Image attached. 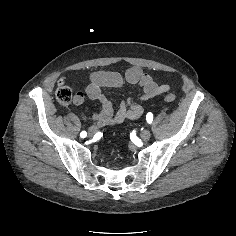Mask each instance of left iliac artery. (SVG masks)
Returning a JSON list of instances; mask_svg holds the SVG:
<instances>
[{"mask_svg": "<svg viewBox=\"0 0 236 236\" xmlns=\"http://www.w3.org/2000/svg\"><path fill=\"white\" fill-rule=\"evenodd\" d=\"M146 120H147V122H148L149 124H151V123H152V120H153V114H152V113H148V114L146 115Z\"/></svg>", "mask_w": 236, "mask_h": 236, "instance_id": "1", "label": "left iliac artery"}]
</instances>
